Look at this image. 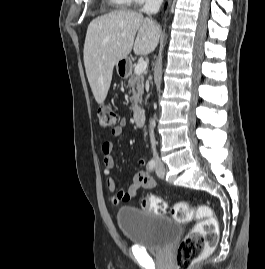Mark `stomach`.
Listing matches in <instances>:
<instances>
[{
	"mask_svg": "<svg viewBox=\"0 0 265 269\" xmlns=\"http://www.w3.org/2000/svg\"><path fill=\"white\" fill-rule=\"evenodd\" d=\"M130 67V59L125 58L116 63V68L119 75L124 76L127 69Z\"/></svg>",
	"mask_w": 265,
	"mask_h": 269,
	"instance_id": "obj_1",
	"label": "stomach"
}]
</instances>
